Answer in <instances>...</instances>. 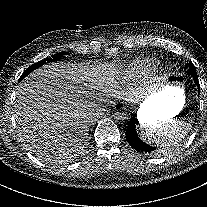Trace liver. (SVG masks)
<instances>
[{
  "mask_svg": "<svg viewBox=\"0 0 207 207\" xmlns=\"http://www.w3.org/2000/svg\"><path fill=\"white\" fill-rule=\"evenodd\" d=\"M97 72L69 63L43 65L19 84L14 102L16 132L27 150L47 160L57 151L79 153L97 108L91 90Z\"/></svg>",
  "mask_w": 207,
  "mask_h": 207,
  "instance_id": "liver-1",
  "label": "liver"
}]
</instances>
